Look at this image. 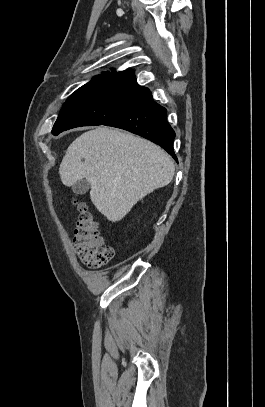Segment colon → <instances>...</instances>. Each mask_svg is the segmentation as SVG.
<instances>
[{
    "instance_id": "colon-1",
    "label": "colon",
    "mask_w": 265,
    "mask_h": 407,
    "mask_svg": "<svg viewBox=\"0 0 265 407\" xmlns=\"http://www.w3.org/2000/svg\"><path fill=\"white\" fill-rule=\"evenodd\" d=\"M79 218L75 231V245L80 260L90 268H99L109 263L114 250L104 243L96 216L87 205L75 203Z\"/></svg>"
}]
</instances>
